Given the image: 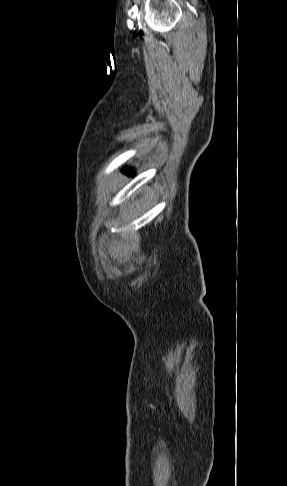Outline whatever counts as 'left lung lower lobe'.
<instances>
[{"label": "left lung lower lobe", "instance_id": "obj_1", "mask_svg": "<svg viewBox=\"0 0 287 486\" xmlns=\"http://www.w3.org/2000/svg\"><path fill=\"white\" fill-rule=\"evenodd\" d=\"M126 173H127L128 175H133V171H132V170H126Z\"/></svg>", "mask_w": 287, "mask_h": 486}]
</instances>
